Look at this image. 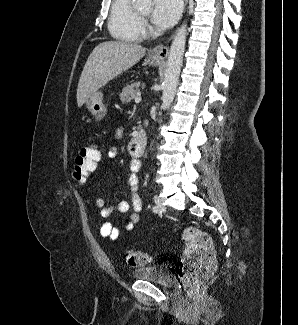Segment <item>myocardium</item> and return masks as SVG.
I'll return each mask as SVG.
<instances>
[{
	"instance_id": "myocardium-1",
	"label": "myocardium",
	"mask_w": 298,
	"mask_h": 325,
	"mask_svg": "<svg viewBox=\"0 0 298 325\" xmlns=\"http://www.w3.org/2000/svg\"><path fill=\"white\" fill-rule=\"evenodd\" d=\"M133 13L135 16V29L141 38L155 35L156 30L149 24L148 15L140 8V1L133 4Z\"/></svg>"
}]
</instances>
